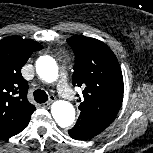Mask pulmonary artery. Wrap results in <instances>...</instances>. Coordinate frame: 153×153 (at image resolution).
<instances>
[{
	"mask_svg": "<svg viewBox=\"0 0 153 153\" xmlns=\"http://www.w3.org/2000/svg\"><path fill=\"white\" fill-rule=\"evenodd\" d=\"M57 89L62 97L69 100L74 98L73 92L67 83L66 74L64 72H61L60 79L57 84Z\"/></svg>",
	"mask_w": 153,
	"mask_h": 153,
	"instance_id": "1",
	"label": "pulmonary artery"
}]
</instances>
